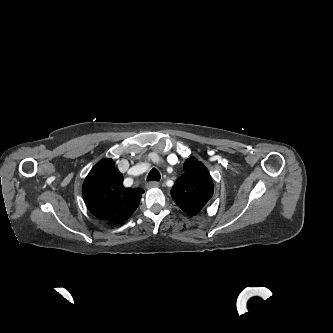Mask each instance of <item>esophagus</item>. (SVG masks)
<instances>
[{
  "mask_svg": "<svg viewBox=\"0 0 333 333\" xmlns=\"http://www.w3.org/2000/svg\"><path fill=\"white\" fill-rule=\"evenodd\" d=\"M158 186H159V182H157V181H151L146 184L147 188H154V187H158Z\"/></svg>",
  "mask_w": 333,
  "mask_h": 333,
  "instance_id": "esophagus-1",
  "label": "esophagus"
}]
</instances>
